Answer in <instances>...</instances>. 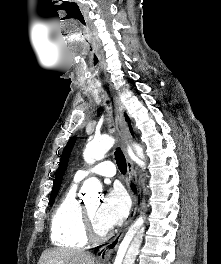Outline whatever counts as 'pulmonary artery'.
<instances>
[{"instance_id": "obj_1", "label": "pulmonary artery", "mask_w": 221, "mask_h": 264, "mask_svg": "<svg viewBox=\"0 0 221 264\" xmlns=\"http://www.w3.org/2000/svg\"><path fill=\"white\" fill-rule=\"evenodd\" d=\"M115 174H116L115 165L111 161L107 160L100 162L93 167L78 170L74 176V181L78 183L92 175L113 177Z\"/></svg>"}]
</instances>
